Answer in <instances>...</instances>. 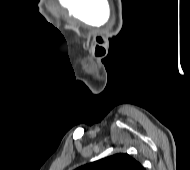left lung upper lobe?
<instances>
[{
  "label": "left lung upper lobe",
  "instance_id": "obj_1",
  "mask_svg": "<svg viewBox=\"0 0 190 170\" xmlns=\"http://www.w3.org/2000/svg\"><path fill=\"white\" fill-rule=\"evenodd\" d=\"M76 170H145L144 167L127 153H119L83 165Z\"/></svg>",
  "mask_w": 190,
  "mask_h": 170
}]
</instances>
